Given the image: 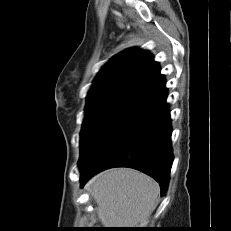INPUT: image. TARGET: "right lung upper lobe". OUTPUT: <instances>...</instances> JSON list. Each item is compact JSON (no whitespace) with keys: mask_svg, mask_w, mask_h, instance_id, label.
Returning <instances> with one entry per match:
<instances>
[{"mask_svg":"<svg viewBox=\"0 0 231 231\" xmlns=\"http://www.w3.org/2000/svg\"><path fill=\"white\" fill-rule=\"evenodd\" d=\"M116 95L132 96L148 104L167 97L160 66L147 50L127 49L111 58L94 79L87 105L99 98Z\"/></svg>","mask_w":231,"mask_h":231,"instance_id":"1","label":"right lung upper lobe"}]
</instances>
